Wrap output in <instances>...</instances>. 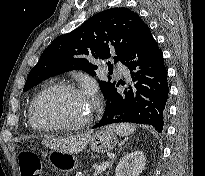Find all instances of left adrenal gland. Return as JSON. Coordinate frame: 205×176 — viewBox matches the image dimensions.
<instances>
[{
  "label": "left adrenal gland",
  "instance_id": "1",
  "mask_svg": "<svg viewBox=\"0 0 205 176\" xmlns=\"http://www.w3.org/2000/svg\"><path fill=\"white\" fill-rule=\"evenodd\" d=\"M123 148H124V147H121L120 150H122ZM115 159H116V156L112 159V162H111V164H110V166H109V168H108V171H107V175H106V176H109L110 170H111V168H112V164H113V162H114Z\"/></svg>",
  "mask_w": 205,
  "mask_h": 176
}]
</instances>
